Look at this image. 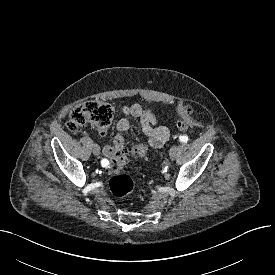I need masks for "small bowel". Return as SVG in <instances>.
<instances>
[{"instance_id":"c3829d8e","label":"small bowel","mask_w":275,"mask_h":275,"mask_svg":"<svg viewBox=\"0 0 275 275\" xmlns=\"http://www.w3.org/2000/svg\"><path fill=\"white\" fill-rule=\"evenodd\" d=\"M122 116L117 121V129L120 132L128 130L130 126V117L139 119L142 132L147 137L148 145L152 148H161L169 139L170 132L164 126H156L157 117L149 109L144 108L138 103L132 105H123L121 107ZM102 135L105 132H100ZM104 156L109 160H114L118 157L125 156L124 138L118 134L115 136L112 145H106L103 148Z\"/></svg>"}]
</instances>
